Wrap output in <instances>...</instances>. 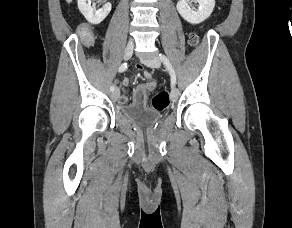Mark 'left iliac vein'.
<instances>
[{
    "label": "left iliac vein",
    "mask_w": 292,
    "mask_h": 228,
    "mask_svg": "<svg viewBox=\"0 0 292 228\" xmlns=\"http://www.w3.org/2000/svg\"><path fill=\"white\" fill-rule=\"evenodd\" d=\"M144 64L151 68H158L161 65L160 59L157 56H154L150 59H143ZM179 97V90L176 87H173L170 92V98L173 102L177 101Z\"/></svg>",
    "instance_id": "left-iliac-vein-1"
}]
</instances>
